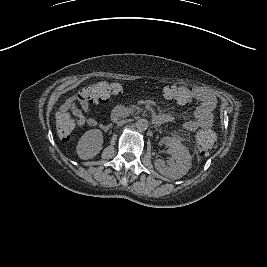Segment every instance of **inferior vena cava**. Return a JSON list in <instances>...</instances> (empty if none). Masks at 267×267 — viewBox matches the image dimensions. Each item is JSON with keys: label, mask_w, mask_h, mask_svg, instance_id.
<instances>
[{"label": "inferior vena cava", "mask_w": 267, "mask_h": 267, "mask_svg": "<svg viewBox=\"0 0 267 267\" xmlns=\"http://www.w3.org/2000/svg\"><path fill=\"white\" fill-rule=\"evenodd\" d=\"M127 122H128V120H121V121L118 122V125H123V124H125Z\"/></svg>", "instance_id": "inferior-vena-cava-1"}]
</instances>
